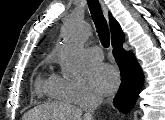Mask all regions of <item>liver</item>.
<instances>
[{"instance_id":"1","label":"liver","mask_w":165,"mask_h":120,"mask_svg":"<svg viewBox=\"0 0 165 120\" xmlns=\"http://www.w3.org/2000/svg\"><path fill=\"white\" fill-rule=\"evenodd\" d=\"M23 120H43V118H58L57 120H82L79 108L70 104H56L35 108L23 117Z\"/></svg>"}]
</instances>
